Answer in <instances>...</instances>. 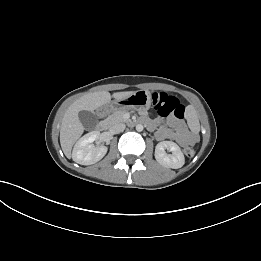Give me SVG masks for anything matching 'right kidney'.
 <instances>
[{
	"instance_id": "right-kidney-1",
	"label": "right kidney",
	"mask_w": 261,
	"mask_h": 261,
	"mask_svg": "<svg viewBox=\"0 0 261 261\" xmlns=\"http://www.w3.org/2000/svg\"><path fill=\"white\" fill-rule=\"evenodd\" d=\"M98 138V132H90L81 137L73 148V161L81 165H92L100 161L107 153V147H95L92 143Z\"/></svg>"
}]
</instances>
